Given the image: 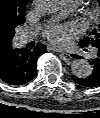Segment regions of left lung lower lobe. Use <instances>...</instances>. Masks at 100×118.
I'll return each mask as SVG.
<instances>
[{"instance_id":"obj_1","label":"left lung lower lobe","mask_w":100,"mask_h":118,"mask_svg":"<svg viewBox=\"0 0 100 118\" xmlns=\"http://www.w3.org/2000/svg\"><path fill=\"white\" fill-rule=\"evenodd\" d=\"M90 64L92 65L91 74L84 78L73 75L72 79L74 82L84 87H96L100 85V47L97 48V55L91 60Z\"/></svg>"}]
</instances>
